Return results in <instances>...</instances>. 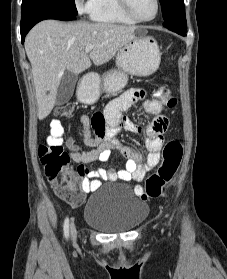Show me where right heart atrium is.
I'll list each match as a JSON object with an SVG mask.
<instances>
[{
	"mask_svg": "<svg viewBox=\"0 0 227 279\" xmlns=\"http://www.w3.org/2000/svg\"><path fill=\"white\" fill-rule=\"evenodd\" d=\"M77 8L86 13H90L94 8L96 0H75Z\"/></svg>",
	"mask_w": 227,
	"mask_h": 279,
	"instance_id": "1",
	"label": "right heart atrium"
}]
</instances>
